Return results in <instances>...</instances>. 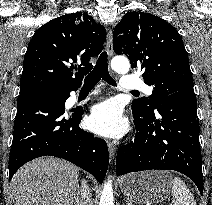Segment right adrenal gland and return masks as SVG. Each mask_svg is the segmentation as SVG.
<instances>
[{
    "label": "right adrenal gland",
    "instance_id": "obj_1",
    "mask_svg": "<svg viewBox=\"0 0 212 205\" xmlns=\"http://www.w3.org/2000/svg\"><path fill=\"white\" fill-rule=\"evenodd\" d=\"M79 196H80V192H78L77 197L74 200L75 205H82V201L79 198Z\"/></svg>",
    "mask_w": 212,
    "mask_h": 205
}]
</instances>
